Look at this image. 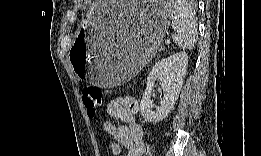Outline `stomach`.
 Returning a JSON list of instances; mask_svg holds the SVG:
<instances>
[{"instance_id": "obj_1", "label": "stomach", "mask_w": 261, "mask_h": 156, "mask_svg": "<svg viewBox=\"0 0 261 156\" xmlns=\"http://www.w3.org/2000/svg\"><path fill=\"white\" fill-rule=\"evenodd\" d=\"M170 6L156 1L100 3L80 27L70 53L77 76L103 88L134 77L163 41Z\"/></svg>"}]
</instances>
